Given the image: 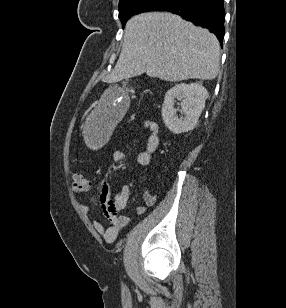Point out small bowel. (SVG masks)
<instances>
[{"label":"small bowel","mask_w":286,"mask_h":308,"mask_svg":"<svg viewBox=\"0 0 286 308\" xmlns=\"http://www.w3.org/2000/svg\"><path fill=\"white\" fill-rule=\"evenodd\" d=\"M142 130L149 133L146 149L140 152L137 156V163L141 166H146L150 163L152 154L159 146L158 125L156 122L146 119L141 122ZM124 152L117 150L114 153L116 160L122 159ZM131 191L128 185L120 186L114 197L111 195V188L107 183H104L100 189L99 204L104 212V215L110 221L106 227L100 221H93L94 229L100 233L105 241L114 242L118 236L119 231L129 222V217L121 215L120 212L127 206ZM156 202V195L148 190L143 194V203L136 207L137 214H143L148 206ZM81 210L88 214L90 207L81 205Z\"/></svg>","instance_id":"1"}]
</instances>
